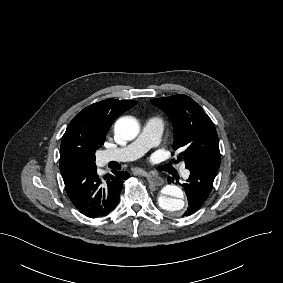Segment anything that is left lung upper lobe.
<instances>
[{"instance_id":"5c2ea615","label":"left lung upper lobe","mask_w":283,"mask_h":283,"mask_svg":"<svg viewBox=\"0 0 283 283\" xmlns=\"http://www.w3.org/2000/svg\"><path fill=\"white\" fill-rule=\"evenodd\" d=\"M151 103L169 116L174 128V150L183 152L187 169L194 165L212 163L220 165L218 136L210 117L201 106L186 95L152 99Z\"/></svg>"}]
</instances>
